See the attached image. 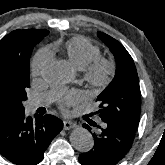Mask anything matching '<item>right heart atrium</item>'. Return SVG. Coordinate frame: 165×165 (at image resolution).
<instances>
[{
    "label": "right heart atrium",
    "mask_w": 165,
    "mask_h": 165,
    "mask_svg": "<svg viewBox=\"0 0 165 165\" xmlns=\"http://www.w3.org/2000/svg\"><path fill=\"white\" fill-rule=\"evenodd\" d=\"M50 52L46 48L40 49L34 56L32 63H31V73L33 76H38L43 67L48 63L50 60Z\"/></svg>",
    "instance_id": "1"
}]
</instances>
